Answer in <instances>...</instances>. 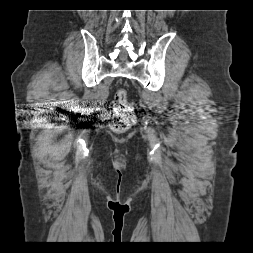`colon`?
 Instances as JSON below:
<instances>
[{
    "label": "colon",
    "mask_w": 253,
    "mask_h": 253,
    "mask_svg": "<svg viewBox=\"0 0 253 253\" xmlns=\"http://www.w3.org/2000/svg\"><path fill=\"white\" fill-rule=\"evenodd\" d=\"M114 115L110 128L115 133L126 132L135 122V113L132 104L128 101L125 89H118L113 99Z\"/></svg>",
    "instance_id": "5ec220e1"
}]
</instances>
